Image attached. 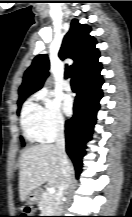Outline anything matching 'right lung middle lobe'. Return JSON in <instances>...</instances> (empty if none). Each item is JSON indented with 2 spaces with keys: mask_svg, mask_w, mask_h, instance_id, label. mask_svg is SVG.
<instances>
[{
  "mask_svg": "<svg viewBox=\"0 0 132 217\" xmlns=\"http://www.w3.org/2000/svg\"><path fill=\"white\" fill-rule=\"evenodd\" d=\"M26 98H23V99H19L18 100V107H19V109H20V107H21V105H22V103H23V101L25 100ZM22 141H23V139H21ZM22 145H24V143L22 144Z\"/></svg>",
  "mask_w": 132,
  "mask_h": 217,
  "instance_id": "dd1d6c3e",
  "label": "right lung middle lobe"
}]
</instances>
